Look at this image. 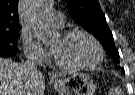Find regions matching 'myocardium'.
Listing matches in <instances>:
<instances>
[{
	"label": "myocardium",
	"mask_w": 135,
	"mask_h": 95,
	"mask_svg": "<svg viewBox=\"0 0 135 95\" xmlns=\"http://www.w3.org/2000/svg\"><path fill=\"white\" fill-rule=\"evenodd\" d=\"M75 35L86 36L88 39H90L92 41V43L95 45V47L97 49V53H98L97 59L93 63H90V64L69 65V64H65V63L61 62L60 60H58L56 58V56H54L56 65L62 69L72 70V71L90 70V69L96 68L98 65L101 64V62L103 61V58H104V50H103L101 43L93 34H91L90 32H88L86 30H82V29L68 30L61 34V36L65 39L70 38Z\"/></svg>",
	"instance_id": "1"
}]
</instances>
